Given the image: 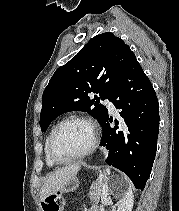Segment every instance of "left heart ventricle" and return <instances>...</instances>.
Here are the masks:
<instances>
[{
	"label": "left heart ventricle",
	"mask_w": 179,
	"mask_h": 211,
	"mask_svg": "<svg viewBox=\"0 0 179 211\" xmlns=\"http://www.w3.org/2000/svg\"><path fill=\"white\" fill-rule=\"evenodd\" d=\"M91 142V127L84 122H71L58 133L54 143V153L60 159H69L86 150Z\"/></svg>",
	"instance_id": "1"
}]
</instances>
